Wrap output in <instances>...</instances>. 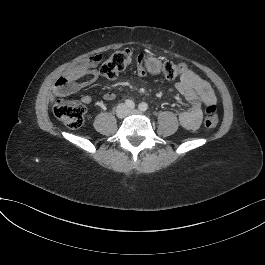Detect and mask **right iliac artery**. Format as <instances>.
Segmentation results:
<instances>
[{
  "instance_id": "1",
  "label": "right iliac artery",
  "mask_w": 265,
  "mask_h": 265,
  "mask_svg": "<svg viewBox=\"0 0 265 265\" xmlns=\"http://www.w3.org/2000/svg\"><path fill=\"white\" fill-rule=\"evenodd\" d=\"M124 104H125L127 107L131 108V109H133V108L135 107L134 102H133L132 100H129V99H128V100H125Z\"/></svg>"
}]
</instances>
